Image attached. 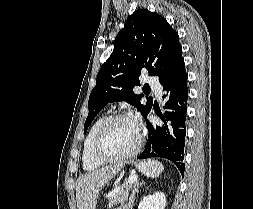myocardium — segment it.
I'll return each instance as SVG.
<instances>
[{
	"label": "myocardium",
	"mask_w": 253,
	"mask_h": 209,
	"mask_svg": "<svg viewBox=\"0 0 253 209\" xmlns=\"http://www.w3.org/2000/svg\"><path fill=\"white\" fill-rule=\"evenodd\" d=\"M122 119H128V120H132L133 122H135V120L132 118V116L128 113H117L114 115H110L108 116L104 122L101 124V126L99 127L94 142H93V147H92V153L94 158L101 162V163H115V162H123L126 161L130 158H132L133 156H135L141 146H142V133H141V129L139 127V125H137V130H138V134H137V142L135 144V146L126 154L122 155V156H117V157H110V156H106L101 152V143L104 137V134L107 130V128L115 121L117 120H122Z\"/></svg>",
	"instance_id": "obj_1"
}]
</instances>
